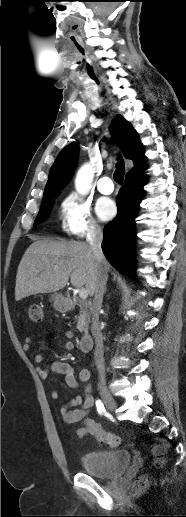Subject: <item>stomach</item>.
<instances>
[{
  "mask_svg": "<svg viewBox=\"0 0 186 517\" xmlns=\"http://www.w3.org/2000/svg\"><path fill=\"white\" fill-rule=\"evenodd\" d=\"M51 300L54 302V307L59 310L63 311L66 308V302L64 299V296L60 293H54L51 296Z\"/></svg>",
  "mask_w": 186,
  "mask_h": 517,
  "instance_id": "1",
  "label": "stomach"
}]
</instances>
